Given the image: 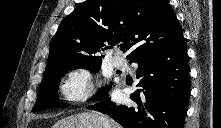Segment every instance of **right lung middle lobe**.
I'll return each mask as SVG.
<instances>
[{
    "mask_svg": "<svg viewBox=\"0 0 221 128\" xmlns=\"http://www.w3.org/2000/svg\"><path fill=\"white\" fill-rule=\"evenodd\" d=\"M102 60H70L53 66L46 67L43 80L38 90L37 101L33 107V111H42L49 108L65 107L66 105L59 102L58 86L61 77L65 73L77 68L88 69L92 72H98L101 67ZM108 93V88L99 90L92 100L101 98Z\"/></svg>",
    "mask_w": 221,
    "mask_h": 128,
    "instance_id": "1",
    "label": "right lung middle lobe"
}]
</instances>
